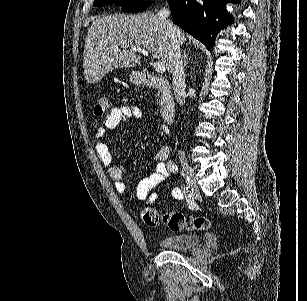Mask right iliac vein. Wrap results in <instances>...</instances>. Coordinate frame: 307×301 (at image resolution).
<instances>
[{
    "instance_id": "1",
    "label": "right iliac vein",
    "mask_w": 307,
    "mask_h": 301,
    "mask_svg": "<svg viewBox=\"0 0 307 301\" xmlns=\"http://www.w3.org/2000/svg\"><path fill=\"white\" fill-rule=\"evenodd\" d=\"M180 160H181V164L184 169L185 176L187 178L188 186L192 189L194 195H198L199 190L196 186L195 179H194L193 172H192L190 165L188 164L187 161L184 160V157H180Z\"/></svg>"
}]
</instances>
